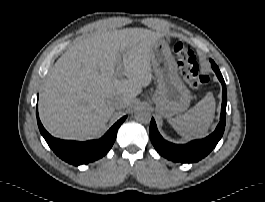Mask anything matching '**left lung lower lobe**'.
Returning <instances> with one entry per match:
<instances>
[{
	"label": "left lung lower lobe",
	"instance_id": "1",
	"mask_svg": "<svg viewBox=\"0 0 265 202\" xmlns=\"http://www.w3.org/2000/svg\"><path fill=\"white\" fill-rule=\"evenodd\" d=\"M211 63L212 68L215 71L223 87L220 122L212 134L201 140H194L187 144L177 145L164 140L157 130L154 119L152 118L151 120V142L158 153H160L163 157L171 161L181 163H193L201 160L215 148L224 133L227 104L226 85L218 66L214 64L212 60Z\"/></svg>",
	"mask_w": 265,
	"mask_h": 202
}]
</instances>
